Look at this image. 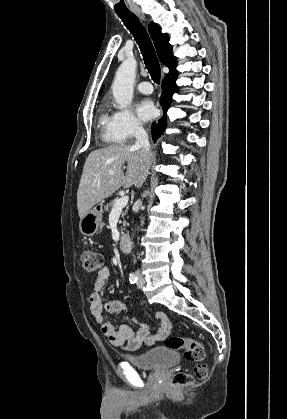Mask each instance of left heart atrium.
<instances>
[{
  "label": "left heart atrium",
  "instance_id": "1",
  "mask_svg": "<svg viewBox=\"0 0 287 419\" xmlns=\"http://www.w3.org/2000/svg\"><path fill=\"white\" fill-rule=\"evenodd\" d=\"M136 112L142 120L147 121L154 117L156 109L151 100L143 99L137 103Z\"/></svg>",
  "mask_w": 287,
  "mask_h": 419
}]
</instances>
